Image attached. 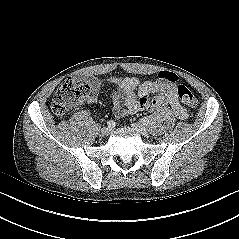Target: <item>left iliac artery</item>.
Returning <instances> with one entry per match:
<instances>
[{
    "instance_id": "44dca946",
    "label": "left iliac artery",
    "mask_w": 239,
    "mask_h": 239,
    "mask_svg": "<svg viewBox=\"0 0 239 239\" xmlns=\"http://www.w3.org/2000/svg\"><path fill=\"white\" fill-rule=\"evenodd\" d=\"M140 122L143 125H148L149 124V119L147 117H143V118L140 119Z\"/></svg>"
}]
</instances>
